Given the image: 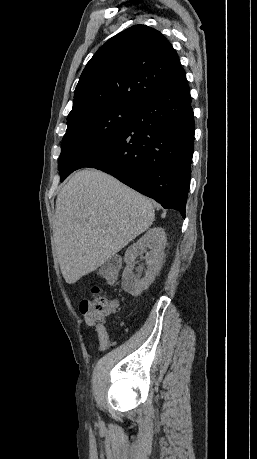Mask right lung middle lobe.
Returning <instances> with one entry per match:
<instances>
[{
	"label": "right lung middle lobe",
	"instance_id": "obj_1",
	"mask_svg": "<svg viewBox=\"0 0 257 459\" xmlns=\"http://www.w3.org/2000/svg\"><path fill=\"white\" fill-rule=\"evenodd\" d=\"M135 110V107L111 106L67 123L58 164L61 181L120 135Z\"/></svg>",
	"mask_w": 257,
	"mask_h": 459
}]
</instances>
